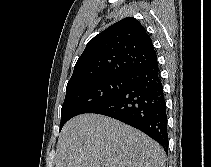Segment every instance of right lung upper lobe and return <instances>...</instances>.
<instances>
[{"mask_svg": "<svg viewBox=\"0 0 211 167\" xmlns=\"http://www.w3.org/2000/svg\"><path fill=\"white\" fill-rule=\"evenodd\" d=\"M156 59V51L145 28L135 18L127 17L88 42L66 89L102 77L127 76Z\"/></svg>", "mask_w": 211, "mask_h": 167, "instance_id": "obj_1", "label": "right lung upper lobe"}]
</instances>
